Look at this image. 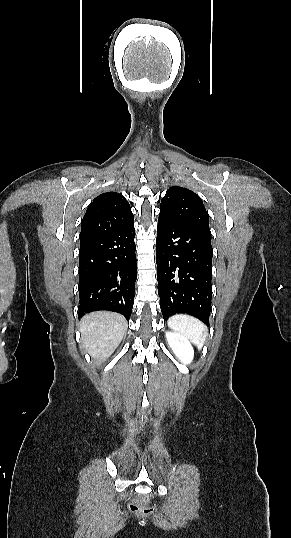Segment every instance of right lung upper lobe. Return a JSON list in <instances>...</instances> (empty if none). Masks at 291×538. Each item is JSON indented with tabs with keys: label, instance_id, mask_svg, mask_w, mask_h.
Instances as JSON below:
<instances>
[{
	"label": "right lung upper lobe",
	"instance_id": "right-lung-upper-lobe-1",
	"mask_svg": "<svg viewBox=\"0 0 291 538\" xmlns=\"http://www.w3.org/2000/svg\"><path fill=\"white\" fill-rule=\"evenodd\" d=\"M133 222L130 205L122 194L103 193L87 208L81 222L80 242L113 233Z\"/></svg>",
	"mask_w": 291,
	"mask_h": 538
}]
</instances>
